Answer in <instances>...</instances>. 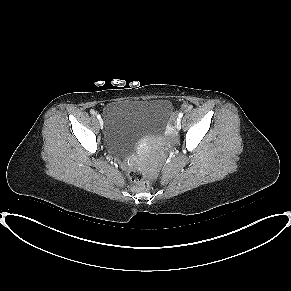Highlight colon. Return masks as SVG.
Segmentation results:
<instances>
[{
  "label": "colon",
  "instance_id": "obj_1",
  "mask_svg": "<svg viewBox=\"0 0 291 291\" xmlns=\"http://www.w3.org/2000/svg\"><path fill=\"white\" fill-rule=\"evenodd\" d=\"M128 177L136 187L145 188L147 186V182L144 179V176L138 170H129Z\"/></svg>",
  "mask_w": 291,
  "mask_h": 291
}]
</instances>
